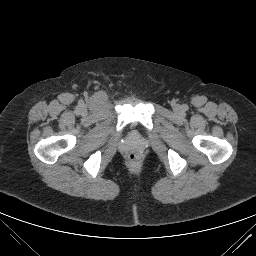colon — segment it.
<instances>
[{
	"label": "colon",
	"instance_id": "obj_1",
	"mask_svg": "<svg viewBox=\"0 0 256 256\" xmlns=\"http://www.w3.org/2000/svg\"><path fill=\"white\" fill-rule=\"evenodd\" d=\"M129 161L131 163H137L139 161V156L137 154H135V153H131L129 155Z\"/></svg>",
	"mask_w": 256,
	"mask_h": 256
}]
</instances>
